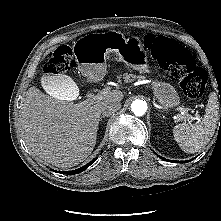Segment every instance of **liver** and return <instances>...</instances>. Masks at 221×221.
I'll list each match as a JSON object with an SVG mask.
<instances>
[{
	"mask_svg": "<svg viewBox=\"0 0 221 221\" xmlns=\"http://www.w3.org/2000/svg\"><path fill=\"white\" fill-rule=\"evenodd\" d=\"M48 78L51 77H41L42 87L53 91ZM66 78L67 90L78 93L76 83ZM123 97L121 91L113 90L95 104L87 100L76 104L30 87L20 114L25 141L40 159L56 167L66 169L78 165L94 149L102 107L108 102H120Z\"/></svg>",
	"mask_w": 221,
	"mask_h": 221,
	"instance_id": "1",
	"label": "liver"
}]
</instances>
